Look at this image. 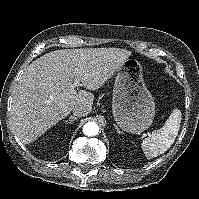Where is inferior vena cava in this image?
<instances>
[{
  "instance_id": "inferior-vena-cava-1",
  "label": "inferior vena cava",
  "mask_w": 199,
  "mask_h": 199,
  "mask_svg": "<svg viewBox=\"0 0 199 199\" xmlns=\"http://www.w3.org/2000/svg\"><path fill=\"white\" fill-rule=\"evenodd\" d=\"M75 116L84 117L88 114L87 109L83 105H75L72 109Z\"/></svg>"
}]
</instances>
